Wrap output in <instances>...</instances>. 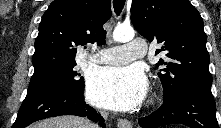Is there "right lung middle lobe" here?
Instances as JSON below:
<instances>
[{"label": "right lung middle lobe", "instance_id": "1", "mask_svg": "<svg viewBox=\"0 0 221 128\" xmlns=\"http://www.w3.org/2000/svg\"><path fill=\"white\" fill-rule=\"evenodd\" d=\"M75 65L72 64L42 74L33 75L27 93L57 85L84 91V78L80 77V74L74 70Z\"/></svg>", "mask_w": 221, "mask_h": 128}]
</instances>
